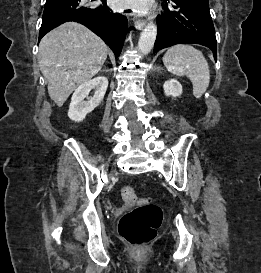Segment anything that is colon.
Returning a JSON list of instances; mask_svg holds the SVG:
<instances>
[{"mask_svg": "<svg viewBox=\"0 0 261 273\" xmlns=\"http://www.w3.org/2000/svg\"><path fill=\"white\" fill-rule=\"evenodd\" d=\"M120 193L125 202L138 207L122 216L118 226L119 234L130 245L143 247L156 236L163 219L162 210L148 198L138 197L130 185L123 186Z\"/></svg>", "mask_w": 261, "mask_h": 273, "instance_id": "obj_1", "label": "colon"}]
</instances>
